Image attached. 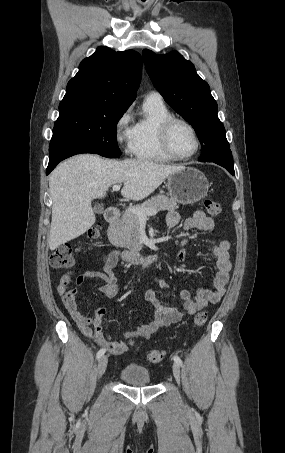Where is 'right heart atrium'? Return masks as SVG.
Here are the masks:
<instances>
[{
    "instance_id": "obj_1",
    "label": "right heart atrium",
    "mask_w": 285,
    "mask_h": 453,
    "mask_svg": "<svg viewBox=\"0 0 285 453\" xmlns=\"http://www.w3.org/2000/svg\"><path fill=\"white\" fill-rule=\"evenodd\" d=\"M131 112L126 109L117 119L114 127L116 141L120 145H128L130 143L131 135Z\"/></svg>"
}]
</instances>
